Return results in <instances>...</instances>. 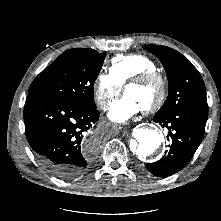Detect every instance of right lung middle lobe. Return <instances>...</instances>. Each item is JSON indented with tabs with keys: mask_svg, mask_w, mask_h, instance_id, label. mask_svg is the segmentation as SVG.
Listing matches in <instances>:
<instances>
[{
	"mask_svg": "<svg viewBox=\"0 0 221 221\" xmlns=\"http://www.w3.org/2000/svg\"><path fill=\"white\" fill-rule=\"evenodd\" d=\"M103 62L104 55L96 50L69 49L36 77L28 94L40 93L96 109L93 86Z\"/></svg>",
	"mask_w": 221,
	"mask_h": 221,
	"instance_id": "obj_1",
	"label": "right lung middle lobe"
}]
</instances>
